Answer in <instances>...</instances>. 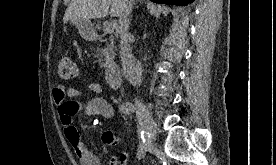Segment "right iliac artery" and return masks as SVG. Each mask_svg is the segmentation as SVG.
Instances as JSON below:
<instances>
[{"mask_svg":"<svg viewBox=\"0 0 276 165\" xmlns=\"http://www.w3.org/2000/svg\"><path fill=\"white\" fill-rule=\"evenodd\" d=\"M135 110H136V108L132 103H125L120 108V111L123 114H130V113L135 112ZM136 115H137V119H138V123H139L140 138L142 141V143L138 149L137 156L139 159H141L145 155V151H146L145 142L147 140L148 133L146 131L145 121H144L143 117L141 116V114L138 111H136Z\"/></svg>","mask_w":276,"mask_h":165,"instance_id":"82829eb1","label":"right iliac artery"}]
</instances>
